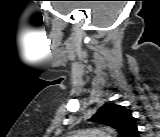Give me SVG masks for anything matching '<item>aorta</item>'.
Returning a JSON list of instances; mask_svg holds the SVG:
<instances>
[{
	"label": "aorta",
	"instance_id": "aorta-1",
	"mask_svg": "<svg viewBox=\"0 0 160 137\" xmlns=\"http://www.w3.org/2000/svg\"><path fill=\"white\" fill-rule=\"evenodd\" d=\"M108 131L112 132L113 130L111 128H107Z\"/></svg>",
	"mask_w": 160,
	"mask_h": 137
}]
</instances>
